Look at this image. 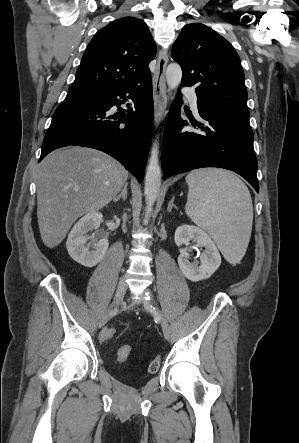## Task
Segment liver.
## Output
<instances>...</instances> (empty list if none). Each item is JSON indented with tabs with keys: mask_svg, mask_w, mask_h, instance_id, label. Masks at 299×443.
I'll return each mask as SVG.
<instances>
[{
	"mask_svg": "<svg viewBox=\"0 0 299 443\" xmlns=\"http://www.w3.org/2000/svg\"><path fill=\"white\" fill-rule=\"evenodd\" d=\"M127 178L128 171L118 161L94 149L63 148L46 156L36 174L43 243L58 246L77 218L106 206Z\"/></svg>",
	"mask_w": 299,
	"mask_h": 443,
	"instance_id": "liver-1",
	"label": "liver"
}]
</instances>
